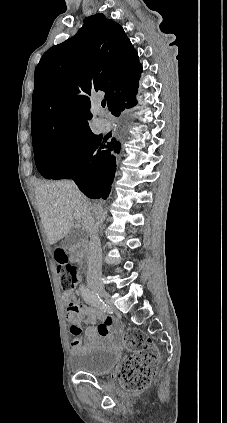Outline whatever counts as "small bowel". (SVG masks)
<instances>
[{"mask_svg": "<svg viewBox=\"0 0 227 423\" xmlns=\"http://www.w3.org/2000/svg\"><path fill=\"white\" fill-rule=\"evenodd\" d=\"M81 293V290H80ZM63 301L67 306V321L70 323V331L73 335L71 351L78 352L82 348L80 323L88 326L85 330V340L88 346H94L102 342L110 333L115 321L103 312V309L94 305H83L76 299V294L66 291ZM98 322V324H96Z\"/></svg>", "mask_w": 227, "mask_h": 423, "instance_id": "obj_1", "label": "small bowel"}]
</instances>
